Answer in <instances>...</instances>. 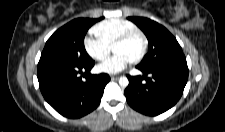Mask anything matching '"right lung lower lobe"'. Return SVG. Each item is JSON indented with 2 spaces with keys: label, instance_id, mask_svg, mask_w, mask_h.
I'll list each match as a JSON object with an SVG mask.
<instances>
[{
  "label": "right lung lower lobe",
  "instance_id": "obj_1",
  "mask_svg": "<svg viewBox=\"0 0 225 132\" xmlns=\"http://www.w3.org/2000/svg\"><path fill=\"white\" fill-rule=\"evenodd\" d=\"M92 61L77 65L57 60H40L37 76L45 100L61 115L79 118L93 111L100 103L107 74L90 75ZM85 80H82V76Z\"/></svg>",
  "mask_w": 225,
  "mask_h": 132
}]
</instances>
